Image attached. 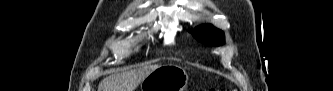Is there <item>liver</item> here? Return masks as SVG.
Returning <instances> with one entry per match:
<instances>
[{"instance_id":"liver-1","label":"liver","mask_w":333,"mask_h":91,"mask_svg":"<svg viewBox=\"0 0 333 91\" xmlns=\"http://www.w3.org/2000/svg\"><path fill=\"white\" fill-rule=\"evenodd\" d=\"M159 67L154 64L117 72L104 78L99 84L98 91H134L146 76Z\"/></svg>"}]
</instances>
